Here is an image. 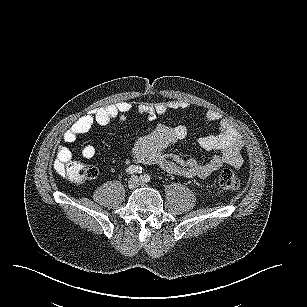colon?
I'll use <instances>...</instances> for the list:
<instances>
[{"instance_id":"colon-1","label":"colon","mask_w":307,"mask_h":307,"mask_svg":"<svg viewBox=\"0 0 307 307\" xmlns=\"http://www.w3.org/2000/svg\"><path fill=\"white\" fill-rule=\"evenodd\" d=\"M56 170L61 176L74 182L93 179L98 175V170L95 166L72 159L67 162L57 163ZM217 182L222 190L228 192L237 191L241 185L237 175L228 168H224L220 171Z\"/></svg>"}]
</instances>
